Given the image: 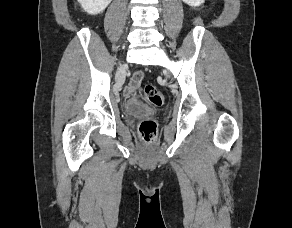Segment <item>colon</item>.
Returning <instances> with one entry per match:
<instances>
[{
	"label": "colon",
	"mask_w": 292,
	"mask_h": 228,
	"mask_svg": "<svg viewBox=\"0 0 292 228\" xmlns=\"http://www.w3.org/2000/svg\"><path fill=\"white\" fill-rule=\"evenodd\" d=\"M144 96L147 101L156 106H161L164 103V95L156 87L147 85L144 88ZM158 125L154 119H144L139 124V133L142 140L151 144L157 137Z\"/></svg>",
	"instance_id": "obj_1"
}]
</instances>
